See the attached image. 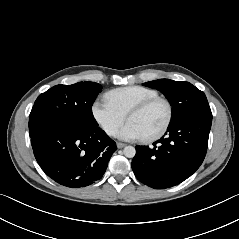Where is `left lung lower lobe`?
Returning <instances> with one entry per match:
<instances>
[{"instance_id": "1", "label": "left lung lower lobe", "mask_w": 239, "mask_h": 239, "mask_svg": "<svg viewBox=\"0 0 239 239\" xmlns=\"http://www.w3.org/2000/svg\"><path fill=\"white\" fill-rule=\"evenodd\" d=\"M212 114H195L170 123L152 147L136 146L132 169L137 179L155 189L175 186L202 164L208 146Z\"/></svg>"}]
</instances>
